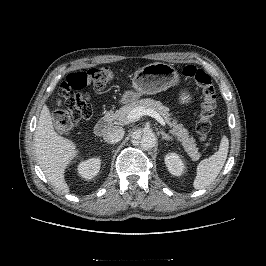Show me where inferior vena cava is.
Wrapping results in <instances>:
<instances>
[{"label":"inferior vena cava","mask_w":266,"mask_h":266,"mask_svg":"<svg viewBox=\"0 0 266 266\" xmlns=\"http://www.w3.org/2000/svg\"><path fill=\"white\" fill-rule=\"evenodd\" d=\"M124 136V129L120 126H110L104 133L103 138L110 144H115L121 141Z\"/></svg>","instance_id":"602c4592"}]
</instances>
